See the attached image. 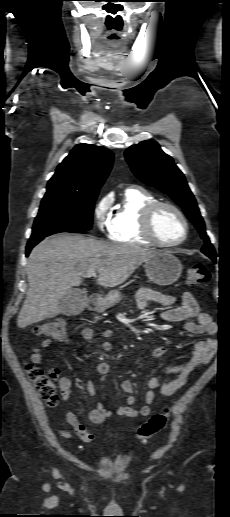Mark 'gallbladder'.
Masks as SVG:
<instances>
[{"mask_svg": "<svg viewBox=\"0 0 230 517\" xmlns=\"http://www.w3.org/2000/svg\"><path fill=\"white\" fill-rule=\"evenodd\" d=\"M87 293L81 290H72L65 294L60 301L61 313L67 316L78 315L86 307Z\"/></svg>", "mask_w": 230, "mask_h": 517, "instance_id": "obj_1", "label": "gallbladder"}]
</instances>
